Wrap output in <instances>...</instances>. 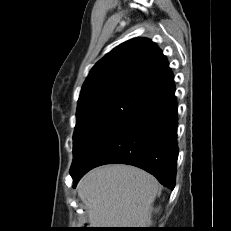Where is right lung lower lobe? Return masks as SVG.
<instances>
[{"mask_svg":"<svg viewBox=\"0 0 231 231\" xmlns=\"http://www.w3.org/2000/svg\"><path fill=\"white\" fill-rule=\"evenodd\" d=\"M175 90L145 101L143 106L107 136L76 169L70 170L74 186L90 169L104 164H129L154 175L173 189L177 146Z\"/></svg>","mask_w":231,"mask_h":231,"instance_id":"98d812e1","label":"right lung lower lobe"}]
</instances>
